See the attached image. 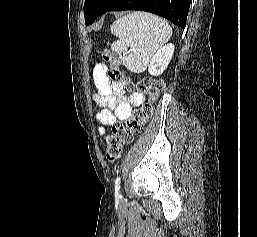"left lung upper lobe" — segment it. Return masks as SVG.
<instances>
[{"label": "left lung upper lobe", "mask_w": 257, "mask_h": 237, "mask_svg": "<svg viewBox=\"0 0 257 237\" xmlns=\"http://www.w3.org/2000/svg\"><path fill=\"white\" fill-rule=\"evenodd\" d=\"M108 0H85V22L88 24L101 10Z\"/></svg>", "instance_id": "1"}]
</instances>
